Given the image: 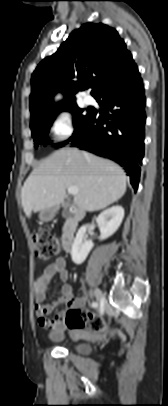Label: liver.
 <instances>
[{
	"label": "liver",
	"instance_id": "liver-1",
	"mask_svg": "<svg viewBox=\"0 0 168 406\" xmlns=\"http://www.w3.org/2000/svg\"><path fill=\"white\" fill-rule=\"evenodd\" d=\"M124 170L104 159L75 148H63L36 167L21 190V203L28 218L32 212L63 203L66 189L77 186L74 204L93 212L118 201L126 192Z\"/></svg>",
	"mask_w": 168,
	"mask_h": 406
}]
</instances>
